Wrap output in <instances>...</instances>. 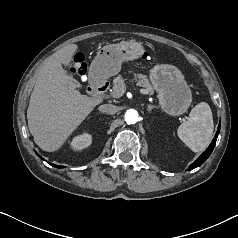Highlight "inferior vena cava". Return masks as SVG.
Listing matches in <instances>:
<instances>
[{
    "mask_svg": "<svg viewBox=\"0 0 238 238\" xmlns=\"http://www.w3.org/2000/svg\"><path fill=\"white\" fill-rule=\"evenodd\" d=\"M99 111L107 114H115L117 112V108L112 104H103L99 106Z\"/></svg>",
    "mask_w": 238,
    "mask_h": 238,
    "instance_id": "obj_1",
    "label": "inferior vena cava"
}]
</instances>
